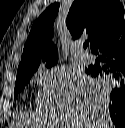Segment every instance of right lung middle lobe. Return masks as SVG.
Here are the masks:
<instances>
[{"label": "right lung middle lobe", "mask_w": 125, "mask_h": 128, "mask_svg": "<svg viewBox=\"0 0 125 128\" xmlns=\"http://www.w3.org/2000/svg\"><path fill=\"white\" fill-rule=\"evenodd\" d=\"M58 59H51L47 62L46 67H51L57 63ZM40 62L34 63L31 66L20 70L17 72L16 82H15V89H14V96L18 95L24 87L29 82L31 76L34 74V72L38 69ZM96 80L99 83H103L106 81V77L100 76L96 78Z\"/></svg>", "instance_id": "dd1d6c3e"}]
</instances>
